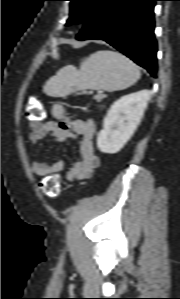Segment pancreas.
I'll return each instance as SVG.
<instances>
[{
	"mask_svg": "<svg viewBox=\"0 0 180 299\" xmlns=\"http://www.w3.org/2000/svg\"><path fill=\"white\" fill-rule=\"evenodd\" d=\"M105 97V95H103V94H99L96 98L98 99V100H100V99H102V98H104Z\"/></svg>",
	"mask_w": 180,
	"mask_h": 299,
	"instance_id": "pancreas-1",
	"label": "pancreas"
}]
</instances>
